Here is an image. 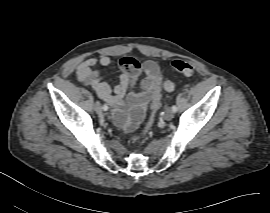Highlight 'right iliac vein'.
Returning <instances> with one entry per match:
<instances>
[{
    "label": "right iliac vein",
    "mask_w": 270,
    "mask_h": 213,
    "mask_svg": "<svg viewBox=\"0 0 270 213\" xmlns=\"http://www.w3.org/2000/svg\"><path fill=\"white\" fill-rule=\"evenodd\" d=\"M94 110L97 112V113H101V105H100V103L97 101V102H95V104H94Z\"/></svg>",
    "instance_id": "63e3f726"
}]
</instances>
